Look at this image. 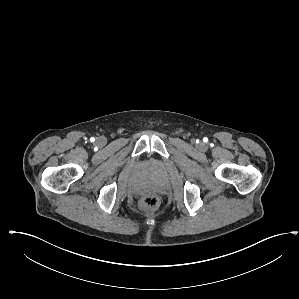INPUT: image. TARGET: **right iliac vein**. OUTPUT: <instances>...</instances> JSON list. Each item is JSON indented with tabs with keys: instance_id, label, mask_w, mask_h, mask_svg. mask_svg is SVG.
Masks as SVG:
<instances>
[{
	"instance_id": "right-iliac-vein-1",
	"label": "right iliac vein",
	"mask_w": 299,
	"mask_h": 299,
	"mask_svg": "<svg viewBox=\"0 0 299 299\" xmlns=\"http://www.w3.org/2000/svg\"><path fill=\"white\" fill-rule=\"evenodd\" d=\"M104 142H105L104 138H99L98 141H97V143H98L99 145H103Z\"/></svg>"
}]
</instances>
